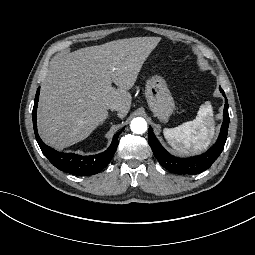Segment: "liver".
Masks as SVG:
<instances>
[{
	"label": "liver",
	"mask_w": 255,
	"mask_h": 255,
	"mask_svg": "<svg viewBox=\"0 0 255 255\" xmlns=\"http://www.w3.org/2000/svg\"><path fill=\"white\" fill-rule=\"evenodd\" d=\"M160 40L119 39L52 60L41 84L37 113L41 138L59 150L80 142L107 119L112 103L120 105L118 117L124 118L132 100L128 90Z\"/></svg>",
	"instance_id": "1"
}]
</instances>
